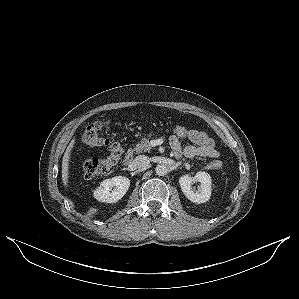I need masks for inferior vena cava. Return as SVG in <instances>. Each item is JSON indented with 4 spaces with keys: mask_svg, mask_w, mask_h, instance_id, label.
Returning a JSON list of instances; mask_svg holds the SVG:
<instances>
[{
    "mask_svg": "<svg viewBox=\"0 0 299 299\" xmlns=\"http://www.w3.org/2000/svg\"><path fill=\"white\" fill-rule=\"evenodd\" d=\"M133 164L137 169H144L150 164V158L146 155H139L134 159Z\"/></svg>",
    "mask_w": 299,
    "mask_h": 299,
    "instance_id": "inferior-vena-cava-1",
    "label": "inferior vena cava"
}]
</instances>
